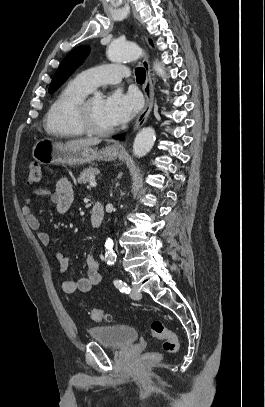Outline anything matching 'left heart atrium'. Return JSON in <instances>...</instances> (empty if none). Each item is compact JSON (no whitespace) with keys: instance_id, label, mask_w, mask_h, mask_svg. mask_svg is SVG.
I'll return each instance as SVG.
<instances>
[{"instance_id":"left-heart-atrium-1","label":"left heart atrium","mask_w":265,"mask_h":407,"mask_svg":"<svg viewBox=\"0 0 265 407\" xmlns=\"http://www.w3.org/2000/svg\"><path fill=\"white\" fill-rule=\"evenodd\" d=\"M141 100L136 93L115 91L104 100V112L112 126L130 121L140 110Z\"/></svg>"}]
</instances>
